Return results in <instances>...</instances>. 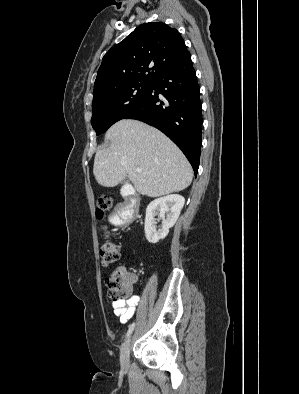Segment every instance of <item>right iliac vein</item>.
<instances>
[{"label": "right iliac vein", "instance_id": "63e3f726", "mask_svg": "<svg viewBox=\"0 0 299 394\" xmlns=\"http://www.w3.org/2000/svg\"><path fill=\"white\" fill-rule=\"evenodd\" d=\"M130 344H131V337H128V339L123 344L121 350L120 362L122 368L124 369H126L129 365Z\"/></svg>", "mask_w": 299, "mask_h": 394}]
</instances>
